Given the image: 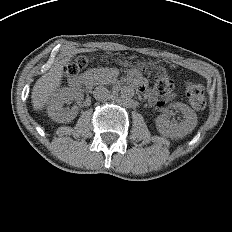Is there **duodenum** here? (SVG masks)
<instances>
[{
    "mask_svg": "<svg viewBox=\"0 0 232 232\" xmlns=\"http://www.w3.org/2000/svg\"><path fill=\"white\" fill-rule=\"evenodd\" d=\"M90 84V80L87 76L80 77L73 82V86L78 90L86 89Z\"/></svg>",
    "mask_w": 232,
    "mask_h": 232,
    "instance_id": "obj_1",
    "label": "duodenum"
}]
</instances>
